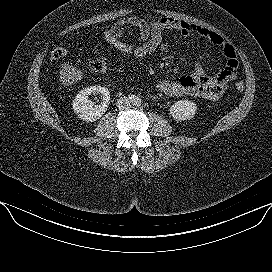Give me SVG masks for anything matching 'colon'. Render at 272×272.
<instances>
[{
	"label": "colon",
	"instance_id": "1",
	"mask_svg": "<svg viewBox=\"0 0 272 272\" xmlns=\"http://www.w3.org/2000/svg\"><path fill=\"white\" fill-rule=\"evenodd\" d=\"M102 37L105 43L115 50L135 58L141 59L161 52L160 47L152 42H142L127 35L112 32L109 29L103 33ZM67 55L68 51L62 47H56L51 52V57L54 60L62 59ZM88 67L92 72L103 73L107 69V62L104 59H96L91 61ZM235 87L238 91H243L245 85L238 81Z\"/></svg>",
	"mask_w": 272,
	"mask_h": 272
}]
</instances>
